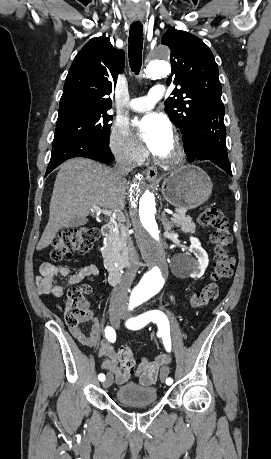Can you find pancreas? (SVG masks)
<instances>
[{"label":"pancreas","instance_id":"obj_1","mask_svg":"<svg viewBox=\"0 0 271 459\" xmlns=\"http://www.w3.org/2000/svg\"><path fill=\"white\" fill-rule=\"evenodd\" d=\"M179 214V217H173L174 224H177L178 228L188 233H194L196 229V224H194L191 216H186V210H176ZM119 222H124V218H118ZM118 228L116 233H112V237L107 239L105 249H102L103 257H107V255L120 256L123 253V250L120 248L121 243H126V237L128 233H126L128 228H125L123 224H118Z\"/></svg>","mask_w":271,"mask_h":459}]
</instances>
